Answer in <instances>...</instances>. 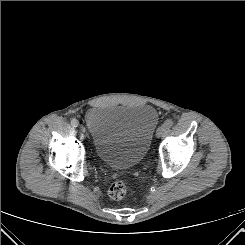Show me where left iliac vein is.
I'll return each mask as SVG.
<instances>
[{
  "instance_id": "1",
  "label": "left iliac vein",
  "mask_w": 245,
  "mask_h": 245,
  "mask_svg": "<svg viewBox=\"0 0 245 245\" xmlns=\"http://www.w3.org/2000/svg\"><path fill=\"white\" fill-rule=\"evenodd\" d=\"M165 131V127L164 126H160L157 131H156V137L159 138L162 136V134L164 133Z\"/></svg>"
}]
</instances>
